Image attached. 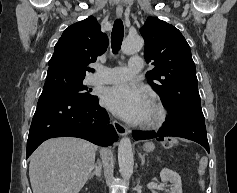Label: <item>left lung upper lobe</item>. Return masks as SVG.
<instances>
[{
    "instance_id": "1",
    "label": "left lung upper lobe",
    "mask_w": 237,
    "mask_h": 193,
    "mask_svg": "<svg viewBox=\"0 0 237 193\" xmlns=\"http://www.w3.org/2000/svg\"><path fill=\"white\" fill-rule=\"evenodd\" d=\"M140 31L145 40V59L155 65L147 80L170 109L169 116L202 111L195 64L180 31L155 17H149Z\"/></svg>"
}]
</instances>
